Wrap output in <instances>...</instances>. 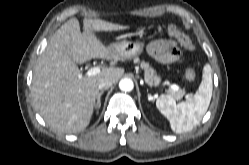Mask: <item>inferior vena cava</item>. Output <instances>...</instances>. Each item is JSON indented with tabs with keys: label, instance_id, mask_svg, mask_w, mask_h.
Segmentation results:
<instances>
[{
	"label": "inferior vena cava",
	"instance_id": "602c4592",
	"mask_svg": "<svg viewBox=\"0 0 249 165\" xmlns=\"http://www.w3.org/2000/svg\"><path fill=\"white\" fill-rule=\"evenodd\" d=\"M112 86V81L109 79H102L98 84L99 90H106L109 89Z\"/></svg>",
	"mask_w": 249,
	"mask_h": 165
}]
</instances>
